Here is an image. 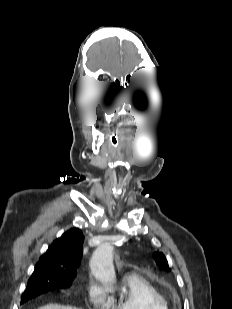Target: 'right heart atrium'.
<instances>
[{"mask_svg":"<svg viewBox=\"0 0 232 309\" xmlns=\"http://www.w3.org/2000/svg\"><path fill=\"white\" fill-rule=\"evenodd\" d=\"M88 296L92 304L98 309H105L108 295L98 283L91 281L88 285Z\"/></svg>","mask_w":232,"mask_h":309,"instance_id":"1","label":"right heart atrium"}]
</instances>
